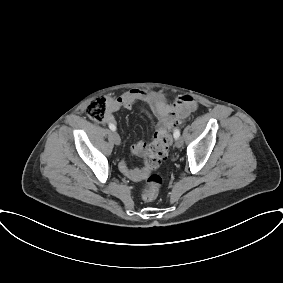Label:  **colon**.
I'll list each match as a JSON object with an SVG mask.
<instances>
[{
  "mask_svg": "<svg viewBox=\"0 0 283 283\" xmlns=\"http://www.w3.org/2000/svg\"><path fill=\"white\" fill-rule=\"evenodd\" d=\"M190 103H181L178 112L172 118L164 122L159 130L155 133L154 140L148 148L145 155V163L149 168H156L167 156L168 149L171 145V133L179 126L188 115ZM87 116L96 121L103 122L108 114L107 102L105 99L98 98L92 101L87 109ZM161 179L157 175L149 176L142 188V197L146 201H153L159 194Z\"/></svg>",
  "mask_w": 283,
  "mask_h": 283,
  "instance_id": "colon-1",
  "label": "colon"
}]
</instances>
